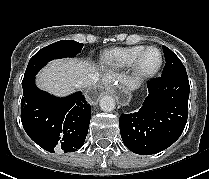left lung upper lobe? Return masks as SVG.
Segmentation results:
<instances>
[{
    "instance_id": "obj_1",
    "label": "left lung upper lobe",
    "mask_w": 209,
    "mask_h": 179,
    "mask_svg": "<svg viewBox=\"0 0 209 179\" xmlns=\"http://www.w3.org/2000/svg\"><path fill=\"white\" fill-rule=\"evenodd\" d=\"M166 64L162 72V76H169L179 72H186L185 67L180 59L167 47L163 46Z\"/></svg>"
}]
</instances>
